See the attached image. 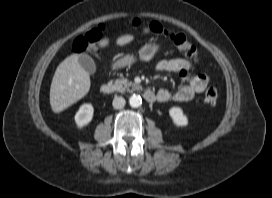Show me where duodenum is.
Segmentation results:
<instances>
[{
	"label": "duodenum",
	"instance_id": "duodenum-1",
	"mask_svg": "<svg viewBox=\"0 0 272 198\" xmlns=\"http://www.w3.org/2000/svg\"><path fill=\"white\" fill-rule=\"evenodd\" d=\"M100 91L104 95H112L115 92V87L114 85L110 83H105L100 87ZM144 98L147 102H150V103L156 100V96L151 90H146L144 92Z\"/></svg>",
	"mask_w": 272,
	"mask_h": 198
}]
</instances>
